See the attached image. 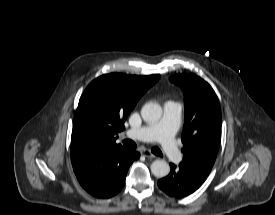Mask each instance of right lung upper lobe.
<instances>
[{"label": "right lung upper lobe", "instance_id": "obj_1", "mask_svg": "<svg viewBox=\"0 0 275 215\" xmlns=\"http://www.w3.org/2000/svg\"><path fill=\"white\" fill-rule=\"evenodd\" d=\"M160 75L111 73L92 81L83 92L74 116L71 162L76 165L92 153L122 147L115 135L140 97Z\"/></svg>", "mask_w": 275, "mask_h": 215}]
</instances>
